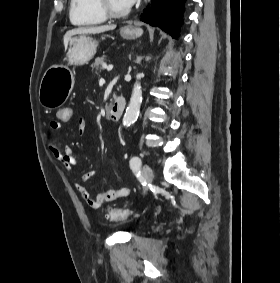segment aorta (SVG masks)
<instances>
[{"mask_svg":"<svg viewBox=\"0 0 280 283\" xmlns=\"http://www.w3.org/2000/svg\"><path fill=\"white\" fill-rule=\"evenodd\" d=\"M141 78V74L137 75V79ZM142 102V89L139 81L134 84L131 99L123 117V125L130 126L133 124L139 115L140 105Z\"/></svg>","mask_w":280,"mask_h":283,"instance_id":"762f6f07","label":"aorta"}]
</instances>
